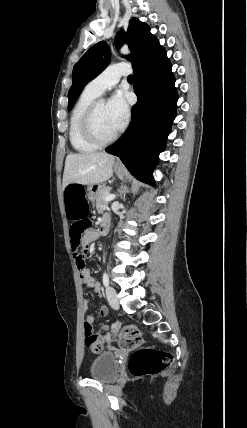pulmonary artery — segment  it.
<instances>
[{
    "label": "pulmonary artery",
    "instance_id": "obj_1",
    "mask_svg": "<svg viewBox=\"0 0 247 428\" xmlns=\"http://www.w3.org/2000/svg\"><path fill=\"white\" fill-rule=\"evenodd\" d=\"M130 72V66L126 63L111 65L90 81L87 88L101 95L104 91L113 87L119 81L121 76H127Z\"/></svg>",
    "mask_w": 247,
    "mask_h": 428
}]
</instances>
